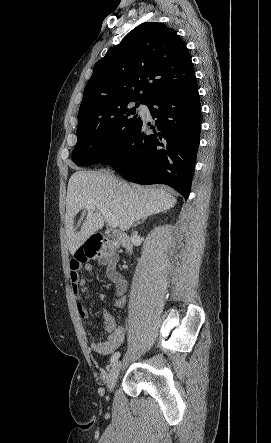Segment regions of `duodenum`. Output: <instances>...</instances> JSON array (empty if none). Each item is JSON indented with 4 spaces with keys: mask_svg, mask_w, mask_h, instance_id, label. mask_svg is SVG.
<instances>
[{
    "mask_svg": "<svg viewBox=\"0 0 271 443\" xmlns=\"http://www.w3.org/2000/svg\"><path fill=\"white\" fill-rule=\"evenodd\" d=\"M117 240L119 241V243L123 246V248L127 251L130 252L131 250V244L129 239L126 236H119L117 237Z\"/></svg>",
    "mask_w": 271,
    "mask_h": 443,
    "instance_id": "duodenum-1",
    "label": "duodenum"
}]
</instances>
